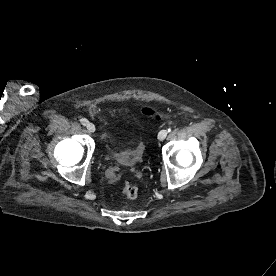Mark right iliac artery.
<instances>
[{
  "label": "right iliac artery",
  "instance_id": "82829eb1",
  "mask_svg": "<svg viewBox=\"0 0 276 276\" xmlns=\"http://www.w3.org/2000/svg\"><path fill=\"white\" fill-rule=\"evenodd\" d=\"M80 122L82 125L86 126L88 123V120L86 118H82V119H80Z\"/></svg>",
  "mask_w": 276,
  "mask_h": 276
}]
</instances>
